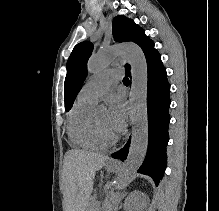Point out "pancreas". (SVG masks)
I'll return each instance as SVG.
<instances>
[{"mask_svg":"<svg viewBox=\"0 0 219 211\" xmlns=\"http://www.w3.org/2000/svg\"><path fill=\"white\" fill-rule=\"evenodd\" d=\"M118 199L120 198L119 196L117 197ZM106 199H107V203L108 204H115L117 201L115 199H113V196L112 195H107L106 196ZM90 206L91 207H87V211H115V208L114 207H109L108 205L106 206V208H99L100 207V204H103L104 206L106 205V200L105 199H100V200H90Z\"/></svg>","mask_w":219,"mask_h":211,"instance_id":"pancreas-1","label":"pancreas"}]
</instances>
